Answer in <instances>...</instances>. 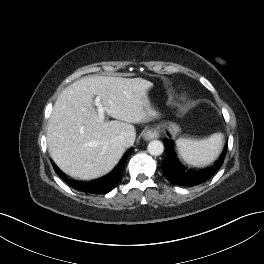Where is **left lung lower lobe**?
Wrapping results in <instances>:
<instances>
[{"mask_svg":"<svg viewBox=\"0 0 264 264\" xmlns=\"http://www.w3.org/2000/svg\"><path fill=\"white\" fill-rule=\"evenodd\" d=\"M167 152L162 164V170L169 181L175 185L194 186L208 180L222 166L226 154V147L215 164L206 170L194 171L184 167L175 156L173 144L168 139L164 140Z\"/></svg>","mask_w":264,"mask_h":264,"instance_id":"1","label":"left lung lower lobe"}]
</instances>
